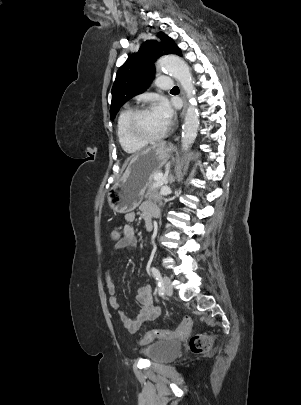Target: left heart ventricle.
Segmentation results:
<instances>
[{
    "label": "left heart ventricle",
    "mask_w": 301,
    "mask_h": 405,
    "mask_svg": "<svg viewBox=\"0 0 301 405\" xmlns=\"http://www.w3.org/2000/svg\"><path fill=\"white\" fill-rule=\"evenodd\" d=\"M167 122L153 109L143 113L137 123V131L146 137L160 134L167 126Z\"/></svg>",
    "instance_id": "left-heart-ventricle-1"
}]
</instances>
